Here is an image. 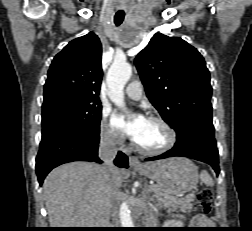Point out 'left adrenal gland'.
Here are the masks:
<instances>
[{
	"mask_svg": "<svg viewBox=\"0 0 252 231\" xmlns=\"http://www.w3.org/2000/svg\"><path fill=\"white\" fill-rule=\"evenodd\" d=\"M145 187H146L145 191H146V193H148V192H149V190L147 189V185H146Z\"/></svg>",
	"mask_w": 252,
	"mask_h": 231,
	"instance_id": "obj_1",
	"label": "left adrenal gland"
}]
</instances>
